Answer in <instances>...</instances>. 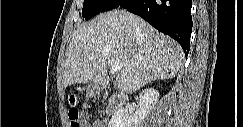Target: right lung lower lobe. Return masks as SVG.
Returning <instances> with one entry per match:
<instances>
[{
	"label": "right lung lower lobe",
	"mask_w": 243,
	"mask_h": 127,
	"mask_svg": "<svg viewBox=\"0 0 243 127\" xmlns=\"http://www.w3.org/2000/svg\"><path fill=\"white\" fill-rule=\"evenodd\" d=\"M191 6L192 0H120L114 8H125L171 36L187 56L192 31Z\"/></svg>",
	"instance_id": "98d812e1"
}]
</instances>
